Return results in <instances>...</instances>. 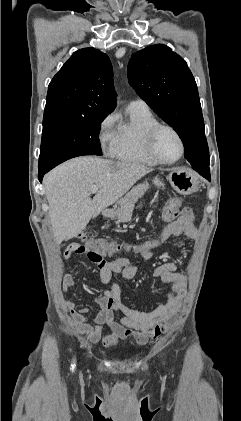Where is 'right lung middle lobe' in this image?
Instances as JSON below:
<instances>
[{
  "label": "right lung middle lobe",
  "mask_w": 241,
  "mask_h": 421,
  "mask_svg": "<svg viewBox=\"0 0 241 421\" xmlns=\"http://www.w3.org/2000/svg\"><path fill=\"white\" fill-rule=\"evenodd\" d=\"M106 114L84 116L65 112L44 113L39 168L77 156L102 155L98 139Z\"/></svg>",
  "instance_id": "right-lung-middle-lobe-1"
}]
</instances>
